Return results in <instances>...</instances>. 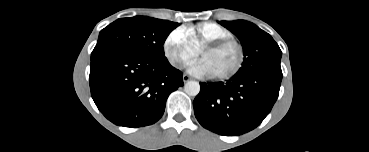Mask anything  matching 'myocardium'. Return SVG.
Here are the masks:
<instances>
[{"label": "myocardium", "instance_id": "myocardium-1", "mask_svg": "<svg viewBox=\"0 0 369 152\" xmlns=\"http://www.w3.org/2000/svg\"><path fill=\"white\" fill-rule=\"evenodd\" d=\"M234 45L237 49L238 52V59L236 61L235 66L228 72L220 74V75H216V76H211L212 79L214 80H218V81H223V80H228L232 77H234L242 68L244 60H245V52H244V48L242 46V44L232 38V37H227V38H222V39H217V40H213L210 41L208 43H206L205 45H203L200 50L198 51L199 55L206 50H217L219 48H222L226 45Z\"/></svg>", "mask_w": 369, "mask_h": 152}]
</instances>
